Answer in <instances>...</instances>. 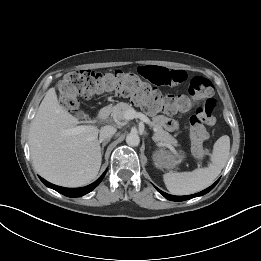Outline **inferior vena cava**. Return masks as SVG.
<instances>
[{"instance_id":"602c4592","label":"inferior vena cava","mask_w":261,"mask_h":261,"mask_svg":"<svg viewBox=\"0 0 261 261\" xmlns=\"http://www.w3.org/2000/svg\"><path fill=\"white\" fill-rule=\"evenodd\" d=\"M116 133V128L110 125H106L101 128L99 134L100 142L110 140V138Z\"/></svg>"}]
</instances>
